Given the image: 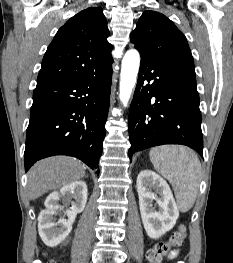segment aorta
I'll return each mask as SVG.
<instances>
[{
	"label": "aorta",
	"mask_w": 233,
	"mask_h": 263,
	"mask_svg": "<svg viewBox=\"0 0 233 263\" xmlns=\"http://www.w3.org/2000/svg\"><path fill=\"white\" fill-rule=\"evenodd\" d=\"M140 65V55L135 49L125 53L122 60L120 74V100L124 106L127 105L132 90L136 84L137 74Z\"/></svg>",
	"instance_id": "obj_1"
}]
</instances>
